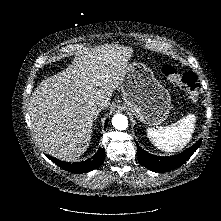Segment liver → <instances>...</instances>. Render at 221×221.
<instances>
[{"label":"liver","instance_id":"liver-1","mask_svg":"<svg viewBox=\"0 0 221 221\" xmlns=\"http://www.w3.org/2000/svg\"><path fill=\"white\" fill-rule=\"evenodd\" d=\"M133 55L130 47L105 44L87 50L62 72L43 80L32 93L29 115L41 148L60 160L74 161L89 147L96 100L119 87Z\"/></svg>","mask_w":221,"mask_h":221}]
</instances>
